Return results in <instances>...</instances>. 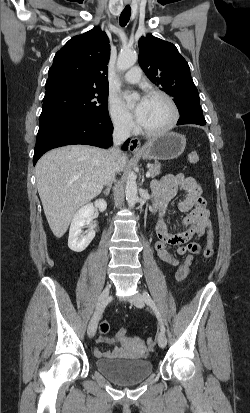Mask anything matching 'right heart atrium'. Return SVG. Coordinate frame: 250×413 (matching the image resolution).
I'll return each mask as SVG.
<instances>
[{
  "label": "right heart atrium",
  "mask_w": 250,
  "mask_h": 413,
  "mask_svg": "<svg viewBox=\"0 0 250 413\" xmlns=\"http://www.w3.org/2000/svg\"><path fill=\"white\" fill-rule=\"evenodd\" d=\"M108 112L112 124L117 130L125 133L133 131L135 127L134 120L118 97L114 95L109 96Z\"/></svg>",
  "instance_id": "right-heart-atrium-1"
}]
</instances>
